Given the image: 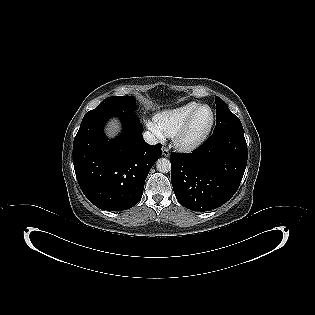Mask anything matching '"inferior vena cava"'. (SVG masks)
Listing matches in <instances>:
<instances>
[{"label": "inferior vena cava", "mask_w": 315, "mask_h": 315, "mask_svg": "<svg viewBox=\"0 0 315 315\" xmlns=\"http://www.w3.org/2000/svg\"><path fill=\"white\" fill-rule=\"evenodd\" d=\"M143 137L149 145H156L158 143V139L149 131L144 132Z\"/></svg>", "instance_id": "inferior-vena-cava-1"}]
</instances>
